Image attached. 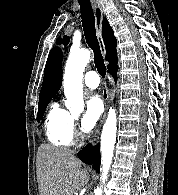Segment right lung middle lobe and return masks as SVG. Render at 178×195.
<instances>
[{
    "label": "right lung middle lobe",
    "mask_w": 178,
    "mask_h": 195,
    "mask_svg": "<svg viewBox=\"0 0 178 195\" xmlns=\"http://www.w3.org/2000/svg\"><path fill=\"white\" fill-rule=\"evenodd\" d=\"M48 103L49 102L38 105V114H37V117L39 119H42L43 118V115H44V112H45V109H46Z\"/></svg>",
    "instance_id": "1"
}]
</instances>
